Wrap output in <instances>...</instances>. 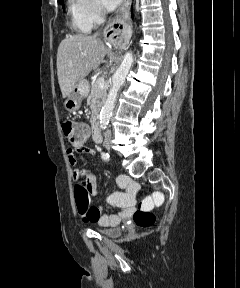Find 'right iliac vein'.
Listing matches in <instances>:
<instances>
[{"label":"right iliac vein","mask_w":240,"mask_h":288,"mask_svg":"<svg viewBox=\"0 0 240 288\" xmlns=\"http://www.w3.org/2000/svg\"><path fill=\"white\" fill-rule=\"evenodd\" d=\"M106 148H107L108 150H110V149H111V146H110V145H106Z\"/></svg>","instance_id":"63e3f726"}]
</instances>
